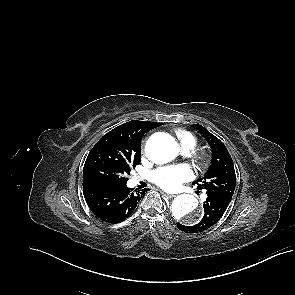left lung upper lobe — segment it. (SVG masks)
<instances>
[{
    "instance_id": "obj_1",
    "label": "left lung upper lobe",
    "mask_w": 295,
    "mask_h": 295,
    "mask_svg": "<svg viewBox=\"0 0 295 295\" xmlns=\"http://www.w3.org/2000/svg\"><path fill=\"white\" fill-rule=\"evenodd\" d=\"M198 130L207 140L212 150V162L204 175L194 182L197 189H205L208 195L226 196L232 198L235 190L236 176L233 160L226 146L203 126Z\"/></svg>"
}]
</instances>
